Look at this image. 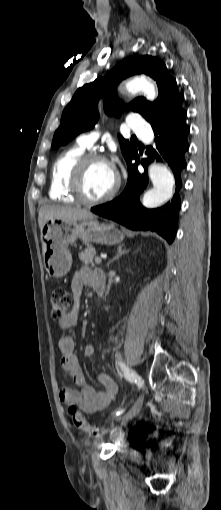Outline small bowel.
I'll return each mask as SVG.
<instances>
[{"instance_id": "c3829d8e", "label": "small bowel", "mask_w": 221, "mask_h": 510, "mask_svg": "<svg viewBox=\"0 0 221 510\" xmlns=\"http://www.w3.org/2000/svg\"><path fill=\"white\" fill-rule=\"evenodd\" d=\"M96 270L83 267L72 278L71 290L75 299V305L71 312L59 320L58 325L62 329L75 327L78 322L79 302L85 286H94V274ZM61 353L60 365L64 375L71 379L76 388L62 387L58 391L59 400L66 405H75L87 414L91 415L105 409L117 394L115 381L106 373L98 375L101 386L99 391L86 384L78 357L75 353V342L71 336H62L58 342ZM95 353V347L87 344L84 347V356L90 358Z\"/></svg>"}]
</instances>
